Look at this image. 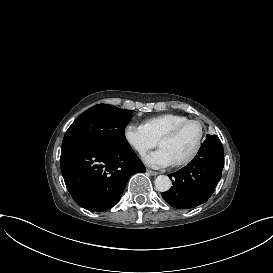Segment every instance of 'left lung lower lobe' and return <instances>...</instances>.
Instances as JSON below:
<instances>
[{
	"label": "left lung lower lobe",
	"instance_id": "left-lung-lower-lobe-1",
	"mask_svg": "<svg viewBox=\"0 0 273 273\" xmlns=\"http://www.w3.org/2000/svg\"><path fill=\"white\" fill-rule=\"evenodd\" d=\"M224 167V149L217 135L206 136L198 155L184 168L170 174L173 186L161 195L177 209L194 208L205 203L221 179Z\"/></svg>",
	"mask_w": 273,
	"mask_h": 273
}]
</instances>
